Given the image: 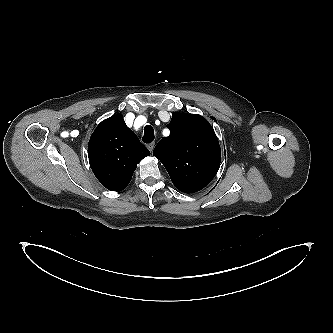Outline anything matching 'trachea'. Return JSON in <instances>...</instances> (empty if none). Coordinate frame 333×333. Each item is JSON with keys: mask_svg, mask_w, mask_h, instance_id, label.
<instances>
[{"mask_svg": "<svg viewBox=\"0 0 333 333\" xmlns=\"http://www.w3.org/2000/svg\"><path fill=\"white\" fill-rule=\"evenodd\" d=\"M154 129L150 125L144 127V135L142 137L143 142L151 143L154 140Z\"/></svg>", "mask_w": 333, "mask_h": 333, "instance_id": "obj_1", "label": "trachea"}]
</instances>
